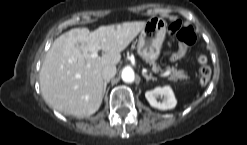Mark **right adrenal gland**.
Segmentation results:
<instances>
[{
    "instance_id": "1",
    "label": "right adrenal gland",
    "mask_w": 247,
    "mask_h": 145,
    "mask_svg": "<svg viewBox=\"0 0 247 145\" xmlns=\"http://www.w3.org/2000/svg\"><path fill=\"white\" fill-rule=\"evenodd\" d=\"M110 82V80L104 82V88H103V95L106 92L107 84Z\"/></svg>"
}]
</instances>
